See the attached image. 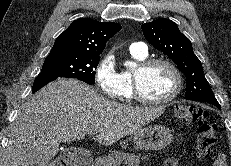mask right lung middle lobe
I'll use <instances>...</instances> for the list:
<instances>
[{
    "label": "right lung middle lobe",
    "mask_w": 231,
    "mask_h": 166,
    "mask_svg": "<svg viewBox=\"0 0 231 166\" xmlns=\"http://www.w3.org/2000/svg\"><path fill=\"white\" fill-rule=\"evenodd\" d=\"M100 55L69 50L51 51L46 57L40 74L75 78L88 84L95 83V69Z\"/></svg>",
    "instance_id": "obj_1"
}]
</instances>
